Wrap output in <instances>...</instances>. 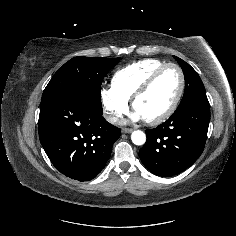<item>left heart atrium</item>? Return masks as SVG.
Returning a JSON list of instances; mask_svg holds the SVG:
<instances>
[{"mask_svg": "<svg viewBox=\"0 0 236 236\" xmlns=\"http://www.w3.org/2000/svg\"><path fill=\"white\" fill-rule=\"evenodd\" d=\"M143 118L140 116L139 113H137L136 111L133 113L132 115V120L134 121H138V120H142Z\"/></svg>", "mask_w": 236, "mask_h": 236, "instance_id": "obj_1", "label": "left heart atrium"}]
</instances>
